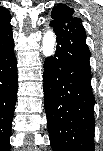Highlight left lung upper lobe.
<instances>
[{
    "label": "left lung upper lobe",
    "mask_w": 103,
    "mask_h": 151,
    "mask_svg": "<svg viewBox=\"0 0 103 151\" xmlns=\"http://www.w3.org/2000/svg\"><path fill=\"white\" fill-rule=\"evenodd\" d=\"M51 17L54 19L51 23L54 29H66L73 23H82L80 18L74 16V10L65 4H57L53 8Z\"/></svg>",
    "instance_id": "left-lung-upper-lobe-1"
}]
</instances>
